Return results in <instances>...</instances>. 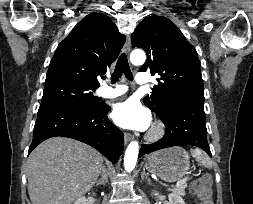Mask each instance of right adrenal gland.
Wrapping results in <instances>:
<instances>
[{
	"instance_id": "1",
	"label": "right adrenal gland",
	"mask_w": 253,
	"mask_h": 204,
	"mask_svg": "<svg viewBox=\"0 0 253 204\" xmlns=\"http://www.w3.org/2000/svg\"><path fill=\"white\" fill-rule=\"evenodd\" d=\"M108 182L107 170L105 167L102 169V177L96 181V185H105Z\"/></svg>"
}]
</instances>
